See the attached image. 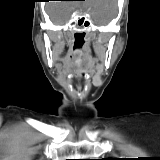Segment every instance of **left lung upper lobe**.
Returning <instances> with one entry per match:
<instances>
[{"mask_svg":"<svg viewBox=\"0 0 160 160\" xmlns=\"http://www.w3.org/2000/svg\"><path fill=\"white\" fill-rule=\"evenodd\" d=\"M105 160H117L116 158H106Z\"/></svg>","mask_w":160,"mask_h":160,"instance_id":"left-lung-upper-lobe-1","label":"left lung upper lobe"}]
</instances>
